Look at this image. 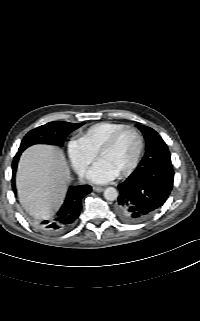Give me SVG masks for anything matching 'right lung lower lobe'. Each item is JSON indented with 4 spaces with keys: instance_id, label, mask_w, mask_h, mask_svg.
Returning <instances> with one entry per match:
<instances>
[{
    "instance_id": "obj_1",
    "label": "right lung lower lobe",
    "mask_w": 200,
    "mask_h": 321,
    "mask_svg": "<svg viewBox=\"0 0 200 321\" xmlns=\"http://www.w3.org/2000/svg\"><path fill=\"white\" fill-rule=\"evenodd\" d=\"M17 153L12 164V187L15 191V173L20 157ZM89 185L70 186L60 210L50 219L41 221V227L49 233H57L69 228L78 218L82 209V199L91 192Z\"/></svg>"
}]
</instances>
